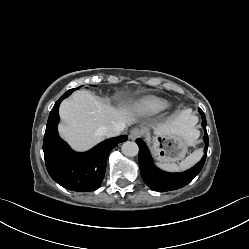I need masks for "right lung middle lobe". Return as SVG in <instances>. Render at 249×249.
<instances>
[{"label":"right lung middle lobe","mask_w":249,"mask_h":249,"mask_svg":"<svg viewBox=\"0 0 249 249\" xmlns=\"http://www.w3.org/2000/svg\"><path fill=\"white\" fill-rule=\"evenodd\" d=\"M76 89H79V87L76 88ZM74 90H75V89H70V90H68L65 94H63L62 96H63L64 98H66V97H68Z\"/></svg>","instance_id":"1"}]
</instances>
